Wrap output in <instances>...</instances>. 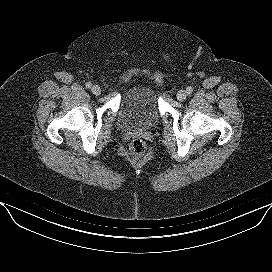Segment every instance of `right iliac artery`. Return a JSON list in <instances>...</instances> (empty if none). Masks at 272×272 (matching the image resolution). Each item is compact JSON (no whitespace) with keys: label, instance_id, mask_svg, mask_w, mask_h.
<instances>
[{"label":"right iliac artery","instance_id":"obj_1","mask_svg":"<svg viewBox=\"0 0 272 272\" xmlns=\"http://www.w3.org/2000/svg\"><path fill=\"white\" fill-rule=\"evenodd\" d=\"M92 84L90 82L86 83V88H91Z\"/></svg>","mask_w":272,"mask_h":272}]
</instances>
